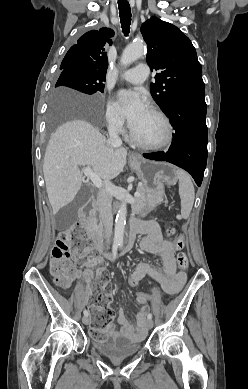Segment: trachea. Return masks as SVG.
Masks as SVG:
<instances>
[{"label": "trachea", "mask_w": 248, "mask_h": 389, "mask_svg": "<svg viewBox=\"0 0 248 389\" xmlns=\"http://www.w3.org/2000/svg\"><path fill=\"white\" fill-rule=\"evenodd\" d=\"M119 16L122 30L125 35L129 34L131 24V8L127 0H118Z\"/></svg>", "instance_id": "1"}]
</instances>
